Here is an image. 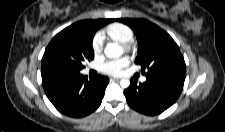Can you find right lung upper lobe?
<instances>
[{"instance_id":"obj_1","label":"right lung upper lobe","mask_w":225,"mask_h":132,"mask_svg":"<svg viewBox=\"0 0 225 132\" xmlns=\"http://www.w3.org/2000/svg\"><path fill=\"white\" fill-rule=\"evenodd\" d=\"M114 19H99V20H85V21H80V22H77L67 28H73L75 26H77L78 24H80L81 22H90V23H93V24H96L97 26H99V28L107 23H110V22H113ZM50 77H47V76H42V80H45V79H48Z\"/></svg>"}]
</instances>
